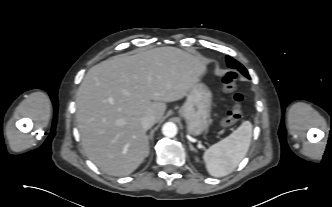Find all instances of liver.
<instances>
[{
    "label": "liver",
    "instance_id": "6515ba94",
    "mask_svg": "<svg viewBox=\"0 0 332 207\" xmlns=\"http://www.w3.org/2000/svg\"><path fill=\"white\" fill-rule=\"evenodd\" d=\"M206 72L197 55L161 47L118 55L93 66L76 98V120L87 157L104 173L126 176L147 154L143 116L158 122L166 102L182 99Z\"/></svg>",
    "mask_w": 332,
    "mask_h": 207
}]
</instances>
